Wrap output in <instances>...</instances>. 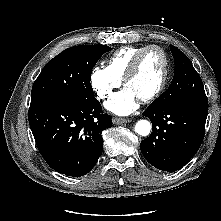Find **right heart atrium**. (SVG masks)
<instances>
[{"instance_id":"d8ad5b80","label":"right heart atrium","mask_w":221,"mask_h":221,"mask_svg":"<svg viewBox=\"0 0 221 221\" xmlns=\"http://www.w3.org/2000/svg\"><path fill=\"white\" fill-rule=\"evenodd\" d=\"M120 84L121 80L115 77L107 67L96 66L93 68L90 75V85L97 98L108 99Z\"/></svg>"}]
</instances>
